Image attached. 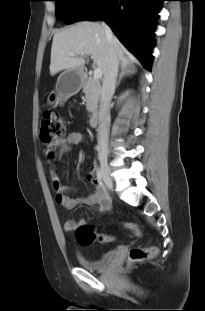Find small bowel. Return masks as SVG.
<instances>
[{
	"mask_svg": "<svg viewBox=\"0 0 205 311\" xmlns=\"http://www.w3.org/2000/svg\"><path fill=\"white\" fill-rule=\"evenodd\" d=\"M85 139V136L81 132H70L61 140L56 142L52 149L61 155L68 151L72 146L82 143ZM95 166L91 167V170L88 174V180L95 186L94 191L86 197L74 198L71 196V189L65 186L57 173L54 167H51L50 176L51 184L55 190V199L56 202L67 209H72L79 204H86L92 206L96 209L97 212H104L110 207V198L105 190L100 185V181L95 176ZM86 223L85 219L79 221L67 220L64 224V229L66 231L72 232L80 225Z\"/></svg>",
	"mask_w": 205,
	"mask_h": 311,
	"instance_id": "small-bowel-1",
	"label": "small bowel"
}]
</instances>
